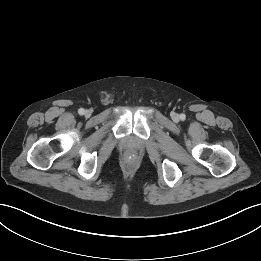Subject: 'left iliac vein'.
I'll return each instance as SVG.
<instances>
[{
    "label": "left iliac vein",
    "instance_id": "4c4485c4",
    "mask_svg": "<svg viewBox=\"0 0 261 261\" xmlns=\"http://www.w3.org/2000/svg\"><path fill=\"white\" fill-rule=\"evenodd\" d=\"M172 117H173L174 120H178L179 119L178 115L175 114V113L172 115Z\"/></svg>",
    "mask_w": 261,
    "mask_h": 261
}]
</instances>
